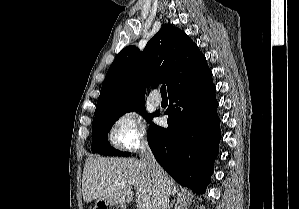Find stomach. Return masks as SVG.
<instances>
[{
    "label": "stomach",
    "mask_w": 299,
    "mask_h": 209,
    "mask_svg": "<svg viewBox=\"0 0 299 209\" xmlns=\"http://www.w3.org/2000/svg\"><path fill=\"white\" fill-rule=\"evenodd\" d=\"M94 209H125V208L121 205L113 204L103 199H98L95 203Z\"/></svg>",
    "instance_id": "0dacf381"
}]
</instances>
